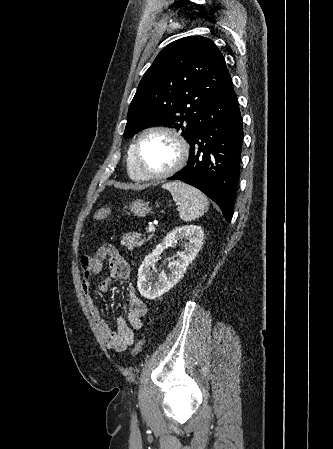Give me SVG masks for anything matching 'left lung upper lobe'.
<instances>
[{
	"instance_id": "1",
	"label": "left lung upper lobe",
	"mask_w": 333,
	"mask_h": 449,
	"mask_svg": "<svg viewBox=\"0 0 333 449\" xmlns=\"http://www.w3.org/2000/svg\"><path fill=\"white\" fill-rule=\"evenodd\" d=\"M230 78L210 39L189 36L170 43L140 81L123 136L161 123L180 130L190 143L207 105Z\"/></svg>"
}]
</instances>
